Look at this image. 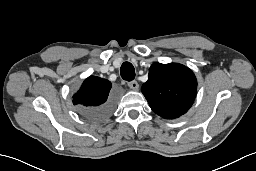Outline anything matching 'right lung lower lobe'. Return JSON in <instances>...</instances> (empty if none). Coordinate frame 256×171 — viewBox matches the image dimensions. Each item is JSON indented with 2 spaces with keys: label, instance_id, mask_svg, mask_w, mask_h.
Here are the masks:
<instances>
[{
  "label": "right lung lower lobe",
  "instance_id": "obj_1",
  "mask_svg": "<svg viewBox=\"0 0 256 171\" xmlns=\"http://www.w3.org/2000/svg\"><path fill=\"white\" fill-rule=\"evenodd\" d=\"M114 107L115 101L113 98H110L109 101L99 107L85 110L82 115L89 120H103L113 112Z\"/></svg>",
  "mask_w": 256,
  "mask_h": 171
}]
</instances>
